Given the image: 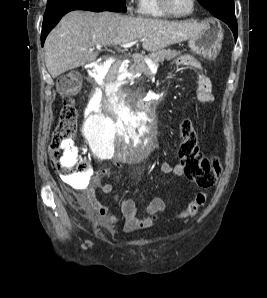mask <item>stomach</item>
<instances>
[{
  "label": "stomach",
  "mask_w": 267,
  "mask_h": 298,
  "mask_svg": "<svg viewBox=\"0 0 267 298\" xmlns=\"http://www.w3.org/2000/svg\"><path fill=\"white\" fill-rule=\"evenodd\" d=\"M222 40L221 26L210 22L198 36L188 40V45L195 54L214 60L221 50Z\"/></svg>",
  "instance_id": "1"
}]
</instances>
